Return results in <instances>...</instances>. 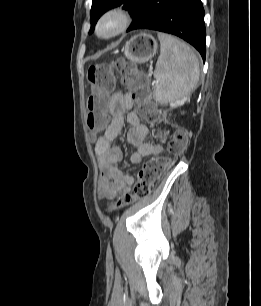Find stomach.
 I'll list each match as a JSON object with an SVG mask.
<instances>
[{
	"instance_id": "1",
	"label": "stomach",
	"mask_w": 261,
	"mask_h": 306,
	"mask_svg": "<svg viewBox=\"0 0 261 306\" xmlns=\"http://www.w3.org/2000/svg\"><path fill=\"white\" fill-rule=\"evenodd\" d=\"M123 52L125 57L133 63H146L155 56L157 42L151 35L140 33L126 42Z\"/></svg>"
}]
</instances>
